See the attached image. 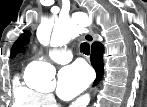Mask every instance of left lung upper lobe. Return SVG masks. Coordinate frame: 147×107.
Instances as JSON below:
<instances>
[{
	"instance_id": "5c2ea615",
	"label": "left lung upper lobe",
	"mask_w": 147,
	"mask_h": 107,
	"mask_svg": "<svg viewBox=\"0 0 147 107\" xmlns=\"http://www.w3.org/2000/svg\"><path fill=\"white\" fill-rule=\"evenodd\" d=\"M30 32L25 31L18 39L17 41L13 44L12 46V51H11V58H13L18 51L23 50V47L28 43L29 37H30Z\"/></svg>"
}]
</instances>
